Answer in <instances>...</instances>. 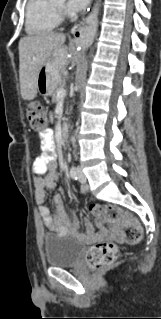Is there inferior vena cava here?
Instances as JSON below:
<instances>
[{
  "label": "inferior vena cava",
  "mask_w": 161,
  "mask_h": 319,
  "mask_svg": "<svg viewBox=\"0 0 161 319\" xmlns=\"http://www.w3.org/2000/svg\"><path fill=\"white\" fill-rule=\"evenodd\" d=\"M72 141H73V143H74V141H75L74 138L72 139Z\"/></svg>",
  "instance_id": "obj_1"
}]
</instances>
